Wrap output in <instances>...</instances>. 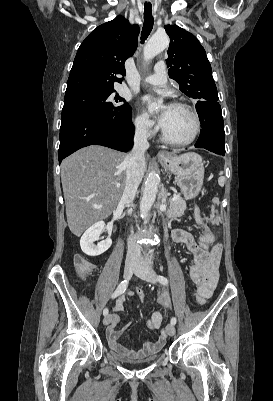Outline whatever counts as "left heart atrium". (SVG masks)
I'll return each mask as SVG.
<instances>
[{
  "instance_id": "1",
  "label": "left heart atrium",
  "mask_w": 273,
  "mask_h": 401,
  "mask_svg": "<svg viewBox=\"0 0 273 401\" xmlns=\"http://www.w3.org/2000/svg\"><path fill=\"white\" fill-rule=\"evenodd\" d=\"M142 101H143V105L149 110V109H150V106H151V103H152V101H153V98L150 97V96H144V97L142 98ZM170 108H171V106H165V107L162 109V111L159 113L158 118H159V121H160L161 124L164 123V121H165V119H166V116H167V114H168Z\"/></svg>"
}]
</instances>
